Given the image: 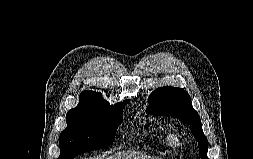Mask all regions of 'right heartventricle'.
Returning <instances> with one entry per match:
<instances>
[{
  "instance_id": "e07e8e85",
  "label": "right heart ventricle",
  "mask_w": 253,
  "mask_h": 159,
  "mask_svg": "<svg viewBox=\"0 0 253 159\" xmlns=\"http://www.w3.org/2000/svg\"><path fill=\"white\" fill-rule=\"evenodd\" d=\"M149 133L151 134V136L155 139V140H159V142H163L166 145H169L170 141H171V136L168 132H158L154 129H151L149 131Z\"/></svg>"
}]
</instances>
